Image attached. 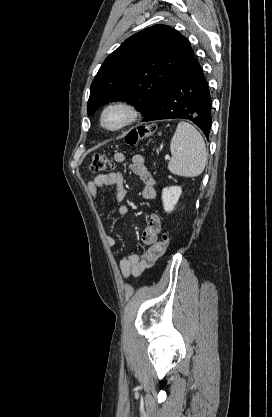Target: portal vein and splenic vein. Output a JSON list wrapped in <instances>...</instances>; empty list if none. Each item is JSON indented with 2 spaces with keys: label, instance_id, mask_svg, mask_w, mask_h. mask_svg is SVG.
<instances>
[{
  "label": "portal vein and splenic vein",
  "instance_id": "1",
  "mask_svg": "<svg viewBox=\"0 0 272 417\" xmlns=\"http://www.w3.org/2000/svg\"><path fill=\"white\" fill-rule=\"evenodd\" d=\"M165 159H166V160H169V159H170V156H169V155H166V156H165Z\"/></svg>",
  "mask_w": 272,
  "mask_h": 417
}]
</instances>
